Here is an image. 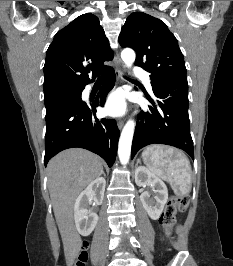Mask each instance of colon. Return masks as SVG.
Here are the masks:
<instances>
[{
    "instance_id": "colon-1",
    "label": "colon",
    "mask_w": 233,
    "mask_h": 266,
    "mask_svg": "<svg viewBox=\"0 0 233 266\" xmlns=\"http://www.w3.org/2000/svg\"><path fill=\"white\" fill-rule=\"evenodd\" d=\"M189 204V198L187 196L173 195L171 196L165 206L163 215L161 217V223L170 230L175 222V217L178 213H182L186 210ZM87 242L83 241L80 251L72 255L69 259V266H86L87 262Z\"/></svg>"
}]
</instances>
